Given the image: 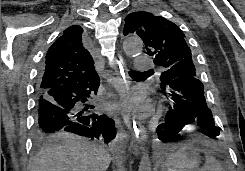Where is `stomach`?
Here are the masks:
<instances>
[{
    "label": "stomach",
    "mask_w": 245,
    "mask_h": 171,
    "mask_svg": "<svg viewBox=\"0 0 245 171\" xmlns=\"http://www.w3.org/2000/svg\"><path fill=\"white\" fill-rule=\"evenodd\" d=\"M200 159L193 147H183L170 153L164 166V171H194L199 166Z\"/></svg>",
    "instance_id": "0dacf381"
}]
</instances>
